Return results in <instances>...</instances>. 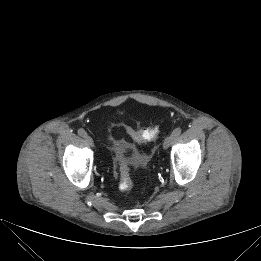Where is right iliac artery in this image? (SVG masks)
I'll use <instances>...</instances> for the list:
<instances>
[{
	"label": "right iliac artery",
	"mask_w": 261,
	"mask_h": 261,
	"mask_svg": "<svg viewBox=\"0 0 261 261\" xmlns=\"http://www.w3.org/2000/svg\"><path fill=\"white\" fill-rule=\"evenodd\" d=\"M78 134L81 136V137H85L87 135L86 131L82 128H80L78 130Z\"/></svg>",
	"instance_id": "1"
}]
</instances>
